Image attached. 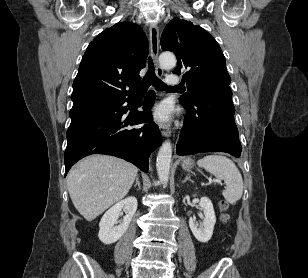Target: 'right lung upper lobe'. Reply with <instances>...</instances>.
<instances>
[{"label":"right lung upper lobe","instance_id":"cb5924a9","mask_svg":"<svg viewBox=\"0 0 308 278\" xmlns=\"http://www.w3.org/2000/svg\"><path fill=\"white\" fill-rule=\"evenodd\" d=\"M147 54L148 40L137 24L121 22L100 33L87 47L73 82L70 116L133 97Z\"/></svg>","mask_w":308,"mask_h":278}]
</instances>
